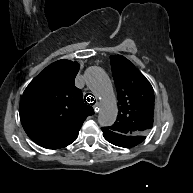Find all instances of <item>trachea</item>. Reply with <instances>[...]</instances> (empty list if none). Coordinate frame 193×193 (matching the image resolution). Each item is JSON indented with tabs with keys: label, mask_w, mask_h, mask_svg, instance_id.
<instances>
[{
	"label": "trachea",
	"mask_w": 193,
	"mask_h": 193,
	"mask_svg": "<svg viewBox=\"0 0 193 193\" xmlns=\"http://www.w3.org/2000/svg\"><path fill=\"white\" fill-rule=\"evenodd\" d=\"M90 93H87L86 95H85V98L89 95ZM91 95V94H90ZM85 100V102L87 103V102H93V103H90V105H94L95 103H96V100H94V98L93 97H91V96H88L86 99H84Z\"/></svg>",
	"instance_id": "trachea-1"
}]
</instances>
